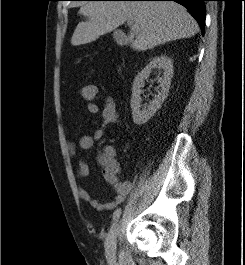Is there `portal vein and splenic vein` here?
<instances>
[{"label":"portal vein and splenic vein","instance_id":"1","mask_svg":"<svg viewBox=\"0 0 245 265\" xmlns=\"http://www.w3.org/2000/svg\"><path fill=\"white\" fill-rule=\"evenodd\" d=\"M127 23L131 25L133 22H131V21H128Z\"/></svg>","mask_w":245,"mask_h":265}]
</instances>
